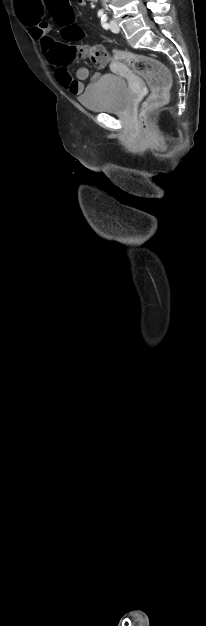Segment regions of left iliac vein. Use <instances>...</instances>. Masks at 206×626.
<instances>
[{"mask_svg": "<svg viewBox=\"0 0 206 626\" xmlns=\"http://www.w3.org/2000/svg\"><path fill=\"white\" fill-rule=\"evenodd\" d=\"M110 29L114 33H118L120 31V28L115 20L110 21Z\"/></svg>", "mask_w": 206, "mask_h": 626, "instance_id": "left-iliac-vein-1", "label": "left iliac vein"}]
</instances>
